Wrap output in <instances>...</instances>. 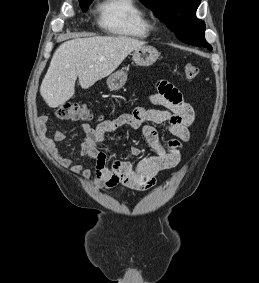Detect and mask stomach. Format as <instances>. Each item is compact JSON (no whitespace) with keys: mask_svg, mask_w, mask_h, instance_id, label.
<instances>
[{"mask_svg":"<svg viewBox=\"0 0 259 283\" xmlns=\"http://www.w3.org/2000/svg\"><path fill=\"white\" fill-rule=\"evenodd\" d=\"M159 57V52L156 48L148 45H143L134 50L132 59L138 66H150ZM127 81V73L124 70H118L107 79V86L110 90L116 91L124 86Z\"/></svg>","mask_w":259,"mask_h":283,"instance_id":"1","label":"stomach"}]
</instances>
